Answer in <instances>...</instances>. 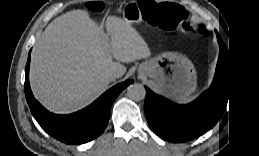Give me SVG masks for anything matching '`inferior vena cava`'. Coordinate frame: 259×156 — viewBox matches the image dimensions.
Listing matches in <instances>:
<instances>
[{
  "instance_id": "602c4592",
  "label": "inferior vena cava",
  "mask_w": 259,
  "mask_h": 156,
  "mask_svg": "<svg viewBox=\"0 0 259 156\" xmlns=\"http://www.w3.org/2000/svg\"><path fill=\"white\" fill-rule=\"evenodd\" d=\"M121 75L118 72H112L109 74V78L111 81L115 80L116 78H119Z\"/></svg>"
}]
</instances>
